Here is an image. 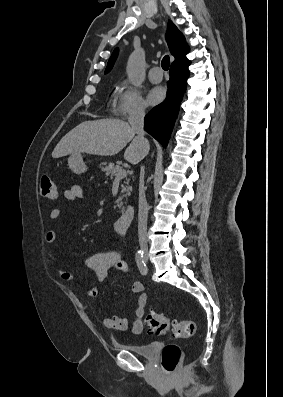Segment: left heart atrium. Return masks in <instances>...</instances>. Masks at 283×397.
<instances>
[{"mask_svg":"<svg viewBox=\"0 0 283 397\" xmlns=\"http://www.w3.org/2000/svg\"><path fill=\"white\" fill-rule=\"evenodd\" d=\"M165 90L160 86L152 87L147 93V103L155 106L161 103L165 98Z\"/></svg>","mask_w":283,"mask_h":397,"instance_id":"1","label":"left heart atrium"}]
</instances>
